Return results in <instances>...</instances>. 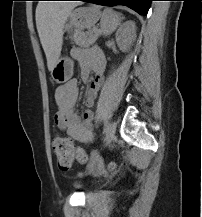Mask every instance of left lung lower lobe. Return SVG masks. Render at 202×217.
<instances>
[{
    "label": "left lung lower lobe",
    "mask_w": 202,
    "mask_h": 217,
    "mask_svg": "<svg viewBox=\"0 0 202 217\" xmlns=\"http://www.w3.org/2000/svg\"><path fill=\"white\" fill-rule=\"evenodd\" d=\"M89 3L104 5V6H116L124 5L141 15H145L148 12L150 3L153 0H79Z\"/></svg>",
    "instance_id": "obj_1"
}]
</instances>
